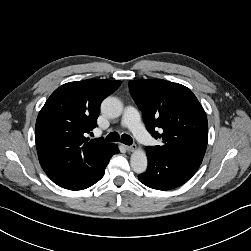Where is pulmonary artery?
<instances>
[{
  "label": "pulmonary artery",
  "mask_w": 251,
  "mask_h": 251,
  "mask_svg": "<svg viewBox=\"0 0 251 251\" xmlns=\"http://www.w3.org/2000/svg\"><path fill=\"white\" fill-rule=\"evenodd\" d=\"M122 125L129 128L139 141L145 144L151 142V137L141 122L139 112L133 106L126 107L122 118Z\"/></svg>",
  "instance_id": "pulmonary-artery-1"
}]
</instances>
